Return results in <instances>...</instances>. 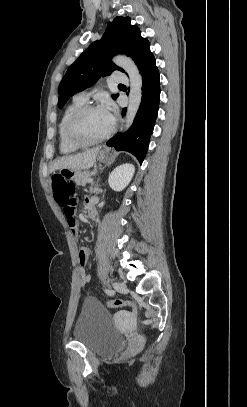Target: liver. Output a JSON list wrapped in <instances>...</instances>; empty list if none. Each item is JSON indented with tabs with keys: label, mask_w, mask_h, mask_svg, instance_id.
I'll return each mask as SVG.
<instances>
[{
	"label": "liver",
	"mask_w": 247,
	"mask_h": 407,
	"mask_svg": "<svg viewBox=\"0 0 247 407\" xmlns=\"http://www.w3.org/2000/svg\"><path fill=\"white\" fill-rule=\"evenodd\" d=\"M101 147H96L75 155L65 156L55 161L52 171L58 169L83 170L91 168L96 162V157Z\"/></svg>",
	"instance_id": "liver-1"
}]
</instances>
